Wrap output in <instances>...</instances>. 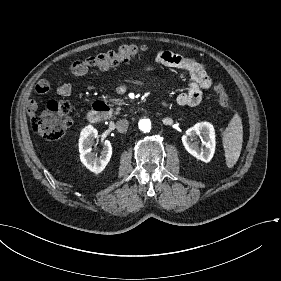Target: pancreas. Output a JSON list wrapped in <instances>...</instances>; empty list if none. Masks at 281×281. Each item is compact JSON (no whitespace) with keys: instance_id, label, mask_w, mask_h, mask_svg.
I'll return each instance as SVG.
<instances>
[{"instance_id":"cf45deb5","label":"pancreas","mask_w":281,"mask_h":281,"mask_svg":"<svg viewBox=\"0 0 281 281\" xmlns=\"http://www.w3.org/2000/svg\"><path fill=\"white\" fill-rule=\"evenodd\" d=\"M120 110H121V108H116L115 111H114V113H115V114H119V113H120Z\"/></svg>"}]
</instances>
